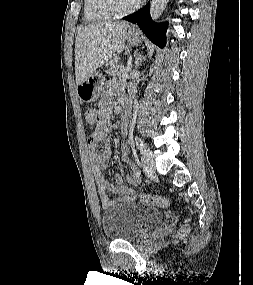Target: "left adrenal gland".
Instances as JSON below:
<instances>
[{"instance_id": "1", "label": "left adrenal gland", "mask_w": 253, "mask_h": 285, "mask_svg": "<svg viewBox=\"0 0 253 285\" xmlns=\"http://www.w3.org/2000/svg\"><path fill=\"white\" fill-rule=\"evenodd\" d=\"M143 57L142 56H136V60H135V69H137L139 67V65L141 64V62L143 61Z\"/></svg>"}]
</instances>
